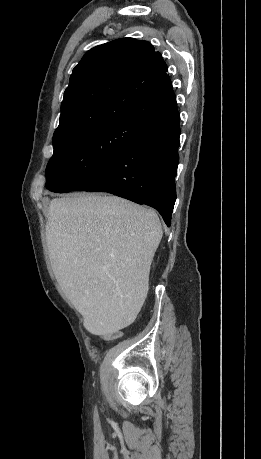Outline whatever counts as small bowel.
Wrapping results in <instances>:
<instances>
[{"instance_id": "1", "label": "small bowel", "mask_w": 261, "mask_h": 459, "mask_svg": "<svg viewBox=\"0 0 261 459\" xmlns=\"http://www.w3.org/2000/svg\"><path fill=\"white\" fill-rule=\"evenodd\" d=\"M90 331L93 334H96L98 336L104 337L106 339H115V338L119 337V334L117 332L105 333V332L97 330V329H90Z\"/></svg>"}]
</instances>
